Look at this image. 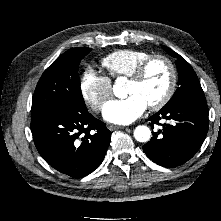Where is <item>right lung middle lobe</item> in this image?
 Here are the masks:
<instances>
[{"label":"right lung middle lobe","mask_w":221,"mask_h":221,"mask_svg":"<svg viewBox=\"0 0 221 221\" xmlns=\"http://www.w3.org/2000/svg\"><path fill=\"white\" fill-rule=\"evenodd\" d=\"M91 48H72L59 56L41 76L32 100L31 115L63 107L86 109L78 68Z\"/></svg>","instance_id":"1"}]
</instances>
